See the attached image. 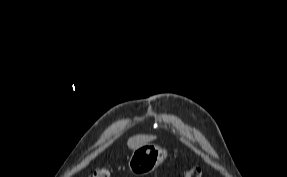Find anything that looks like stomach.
I'll return each instance as SVG.
<instances>
[{
  "instance_id": "1",
  "label": "stomach",
  "mask_w": 287,
  "mask_h": 177,
  "mask_svg": "<svg viewBox=\"0 0 287 177\" xmlns=\"http://www.w3.org/2000/svg\"><path fill=\"white\" fill-rule=\"evenodd\" d=\"M165 149L155 144H144L133 150L128 165L135 175H147L153 172L166 159Z\"/></svg>"
}]
</instances>
